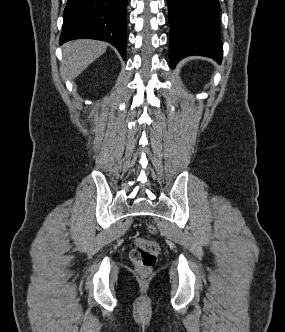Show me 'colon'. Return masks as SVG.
Here are the masks:
<instances>
[{
  "label": "colon",
  "instance_id": "1",
  "mask_svg": "<svg viewBox=\"0 0 285 332\" xmlns=\"http://www.w3.org/2000/svg\"><path fill=\"white\" fill-rule=\"evenodd\" d=\"M154 231L153 227L149 228ZM159 244L151 239L139 238L130 252V259L141 275H148L156 263L159 254Z\"/></svg>",
  "mask_w": 285,
  "mask_h": 332
}]
</instances>
